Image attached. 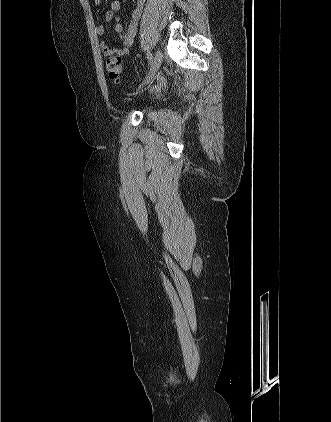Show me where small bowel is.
I'll use <instances>...</instances> for the list:
<instances>
[{
  "instance_id": "small-bowel-1",
  "label": "small bowel",
  "mask_w": 331,
  "mask_h": 422,
  "mask_svg": "<svg viewBox=\"0 0 331 422\" xmlns=\"http://www.w3.org/2000/svg\"><path fill=\"white\" fill-rule=\"evenodd\" d=\"M96 6L101 5V0H93ZM145 4V0H137L136 8L134 9L131 17V22L128 26H124L120 22L119 13L121 11V1L120 0H113L110 3V7L105 14V22L110 23L112 20H115L116 26L115 30L119 35V39L121 41V46L114 48L110 46L107 42L101 41L100 42V49L104 56L107 59H111L113 57H120L127 55L134 44V40L137 33V22L141 16L143 7ZM96 35L99 37L103 36L105 33V27L100 24H96L94 27Z\"/></svg>"
}]
</instances>
